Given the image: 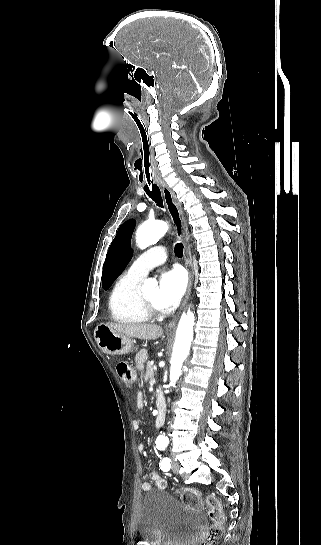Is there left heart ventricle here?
Instances as JSON below:
<instances>
[{
    "label": "left heart ventricle",
    "instance_id": "left-heart-ventricle-1",
    "mask_svg": "<svg viewBox=\"0 0 321 545\" xmlns=\"http://www.w3.org/2000/svg\"><path fill=\"white\" fill-rule=\"evenodd\" d=\"M140 297L141 299L149 306L156 307V292L154 290L143 292L140 290Z\"/></svg>",
    "mask_w": 321,
    "mask_h": 545
}]
</instances>
